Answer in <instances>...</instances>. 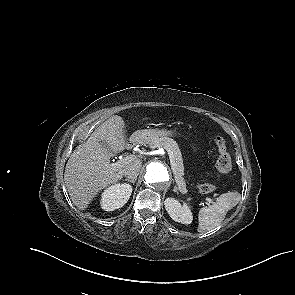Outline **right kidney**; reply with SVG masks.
Instances as JSON below:
<instances>
[{"instance_id":"1","label":"right kidney","mask_w":295,"mask_h":295,"mask_svg":"<svg viewBox=\"0 0 295 295\" xmlns=\"http://www.w3.org/2000/svg\"><path fill=\"white\" fill-rule=\"evenodd\" d=\"M132 187L128 184H115L107 188L101 199V207L105 211L121 208L129 200Z\"/></svg>"}]
</instances>
